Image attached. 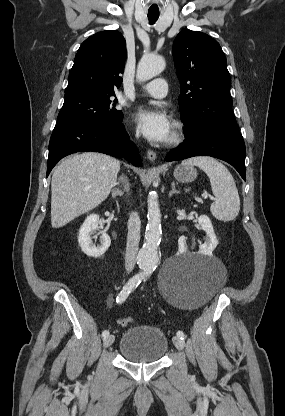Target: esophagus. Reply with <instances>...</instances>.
I'll list each match as a JSON object with an SVG mask.
<instances>
[{
	"label": "esophagus",
	"mask_w": 285,
	"mask_h": 416,
	"mask_svg": "<svg viewBox=\"0 0 285 416\" xmlns=\"http://www.w3.org/2000/svg\"><path fill=\"white\" fill-rule=\"evenodd\" d=\"M147 157L150 161H154L156 159V153L153 150L147 151Z\"/></svg>",
	"instance_id": "esophagus-1"
}]
</instances>
